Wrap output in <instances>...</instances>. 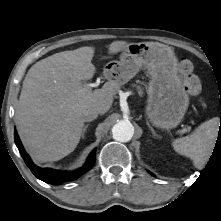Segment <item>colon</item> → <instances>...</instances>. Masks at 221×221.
Returning a JSON list of instances; mask_svg holds the SVG:
<instances>
[{
	"mask_svg": "<svg viewBox=\"0 0 221 221\" xmlns=\"http://www.w3.org/2000/svg\"><path fill=\"white\" fill-rule=\"evenodd\" d=\"M179 72L183 78V84L186 91L190 95H198L201 91V81L194 73V66L189 59L184 58L180 61Z\"/></svg>",
	"mask_w": 221,
	"mask_h": 221,
	"instance_id": "obj_1",
	"label": "colon"
}]
</instances>
